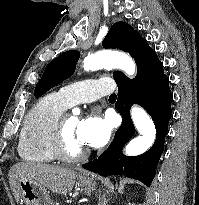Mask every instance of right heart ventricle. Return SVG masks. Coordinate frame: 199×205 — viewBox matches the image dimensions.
Returning <instances> with one entry per match:
<instances>
[{
    "label": "right heart ventricle",
    "mask_w": 199,
    "mask_h": 205,
    "mask_svg": "<svg viewBox=\"0 0 199 205\" xmlns=\"http://www.w3.org/2000/svg\"><path fill=\"white\" fill-rule=\"evenodd\" d=\"M69 105L59 93L42 97L27 114L20 133L18 153L25 161L36 164L53 163L50 150L54 126Z\"/></svg>",
    "instance_id": "right-heart-ventricle-1"
}]
</instances>
